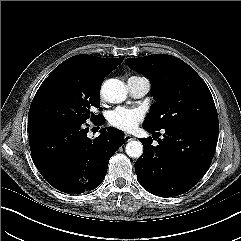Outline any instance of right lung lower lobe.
Here are the masks:
<instances>
[{"instance_id":"right-lung-lower-lobe-1","label":"right lung lower lobe","mask_w":241,"mask_h":241,"mask_svg":"<svg viewBox=\"0 0 241 241\" xmlns=\"http://www.w3.org/2000/svg\"><path fill=\"white\" fill-rule=\"evenodd\" d=\"M103 125L105 119H94ZM32 159L44 179L54 188L80 194L103 181L111 156L124 143V133L102 128L91 140L84 123L41 124L28 127Z\"/></svg>"}]
</instances>
